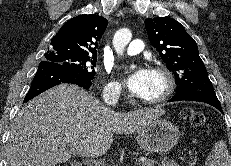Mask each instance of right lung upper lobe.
Masks as SVG:
<instances>
[{"instance_id": "obj_1", "label": "right lung upper lobe", "mask_w": 231, "mask_h": 166, "mask_svg": "<svg viewBox=\"0 0 231 166\" xmlns=\"http://www.w3.org/2000/svg\"><path fill=\"white\" fill-rule=\"evenodd\" d=\"M108 21L99 15H79L68 20L53 37L45 55L97 57L96 48Z\"/></svg>"}]
</instances>
